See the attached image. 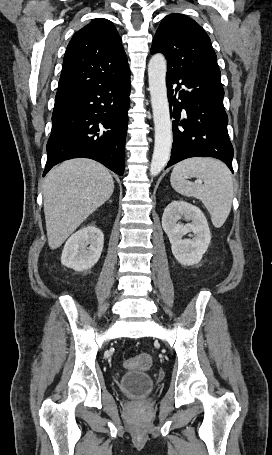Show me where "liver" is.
I'll use <instances>...</instances> for the list:
<instances>
[{
    "instance_id": "1",
    "label": "liver",
    "mask_w": 272,
    "mask_h": 455,
    "mask_svg": "<svg viewBox=\"0 0 272 455\" xmlns=\"http://www.w3.org/2000/svg\"><path fill=\"white\" fill-rule=\"evenodd\" d=\"M114 191L108 169L90 159H72L51 169L43 183L48 245L59 248Z\"/></svg>"
}]
</instances>
